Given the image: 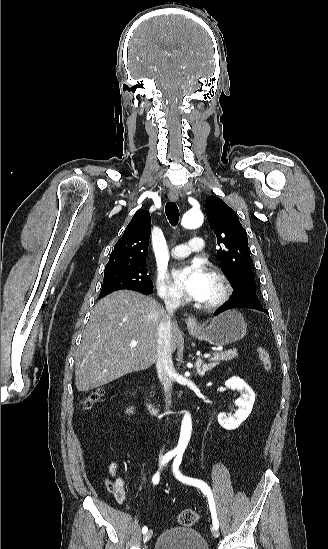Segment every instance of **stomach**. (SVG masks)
<instances>
[{
	"instance_id": "0dacf381",
	"label": "stomach",
	"mask_w": 328,
	"mask_h": 549,
	"mask_svg": "<svg viewBox=\"0 0 328 549\" xmlns=\"http://www.w3.org/2000/svg\"><path fill=\"white\" fill-rule=\"evenodd\" d=\"M246 333L244 317L237 309H229V311H224L221 315L213 317L211 323L205 329L197 331L200 341H207V343L216 345V347H223V345L241 341Z\"/></svg>"
}]
</instances>
